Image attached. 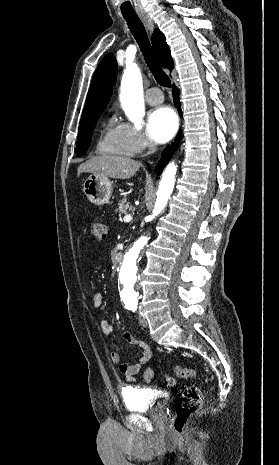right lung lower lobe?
<instances>
[{
    "mask_svg": "<svg viewBox=\"0 0 279 465\" xmlns=\"http://www.w3.org/2000/svg\"><path fill=\"white\" fill-rule=\"evenodd\" d=\"M173 89H174V91H173L174 103H175V106L178 108L179 114L181 116L179 93H178V90H177L175 85H173ZM180 134H181V131H179L175 142L171 146H169V147H167L165 149L161 160L158 162L157 166L155 167V171H156L157 174H161L163 168L168 163V161L172 157L173 153L176 151V149H177V147L179 145V142H180V136H181Z\"/></svg>",
    "mask_w": 279,
    "mask_h": 465,
    "instance_id": "obj_1",
    "label": "right lung lower lobe"
}]
</instances>
